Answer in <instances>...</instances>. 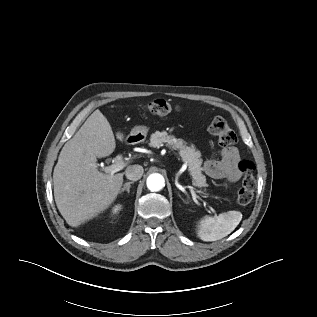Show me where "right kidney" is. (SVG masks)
<instances>
[{
	"label": "right kidney",
	"mask_w": 317,
	"mask_h": 317,
	"mask_svg": "<svg viewBox=\"0 0 317 317\" xmlns=\"http://www.w3.org/2000/svg\"><path fill=\"white\" fill-rule=\"evenodd\" d=\"M120 210H121V205H116L115 207H113V209L111 211V216L117 215Z\"/></svg>",
	"instance_id": "1"
}]
</instances>
